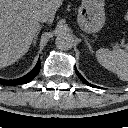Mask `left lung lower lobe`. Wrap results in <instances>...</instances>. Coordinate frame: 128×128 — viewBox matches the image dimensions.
<instances>
[{
  "label": "left lung lower lobe",
  "instance_id": "obj_1",
  "mask_svg": "<svg viewBox=\"0 0 128 128\" xmlns=\"http://www.w3.org/2000/svg\"><path fill=\"white\" fill-rule=\"evenodd\" d=\"M75 72H76L77 76L81 79V81H82L83 83H85L86 85L95 87L94 85H92V84H90L89 82H87V81L83 78V76L77 71L76 68H75Z\"/></svg>",
  "mask_w": 128,
  "mask_h": 128
}]
</instances>
